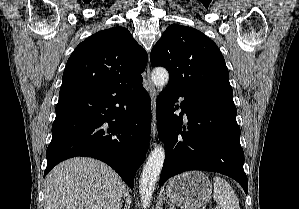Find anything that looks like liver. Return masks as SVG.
Here are the masks:
<instances>
[{"label":"liver","mask_w":299,"mask_h":209,"mask_svg":"<svg viewBox=\"0 0 299 209\" xmlns=\"http://www.w3.org/2000/svg\"><path fill=\"white\" fill-rule=\"evenodd\" d=\"M125 183L109 166L76 157L57 165L46 177L44 209H118Z\"/></svg>","instance_id":"1"}]
</instances>
